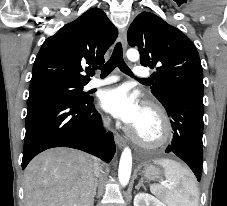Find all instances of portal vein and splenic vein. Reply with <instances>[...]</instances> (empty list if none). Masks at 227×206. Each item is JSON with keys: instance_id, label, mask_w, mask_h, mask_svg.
<instances>
[{"instance_id": "1", "label": "portal vein and splenic vein", "mask_w": 227, "mask_h": 206, "mask_svg": "<svg viewBox=\"0 0 227 206\" xmlns=\"http://www.w3.org/2000/svg\"><path fill=\"white\" fill-rule=\"evenodd\" d=\"M164 186L168 187V184L167 183H163Z\"/></svg>"}]
</instances>
